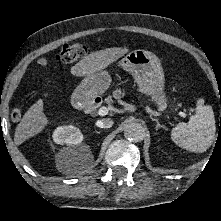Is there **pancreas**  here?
<instances>
[{"label": "pancreas", "mask_w": 221, "mask_h": 221, "mask_svg": "<svg viewBox=\"0 0 221 221\" xmlns=\"http://www.w3.org/2000/svg\"><path fill=\"white\" fill-rule=\"evenodd\" d=\"M124 95H125L124 90L116 89V90L113 91L112 96H108V97L105 99V102H106V103H111V102H113L112 97H113L114 99H116V100H120Z\"/></svg>", "instance_id": "obj_1"}]
</instances>
